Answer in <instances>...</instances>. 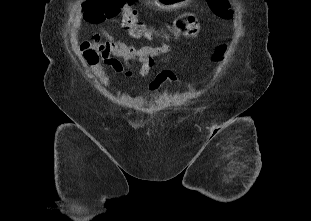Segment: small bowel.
Instances as JSON below:
<instances>
[{
  "instance_id": "1",
  "label": "small bowel",
  "mask_w": 311,
  "mask_h": 221,
  "mask_svg": "<svg viewBox=\"0 0 311 221\" xmlns=\"http://www.w3.org/2000/svg\"><path fill=\"white\" fill-rule=\"evenodd\" d=\"M106 39V50L108 46H127V53H110L109 57H103L104 63L115 72L123 74L127 78H133L135 73L132 68L138 65V75L144 79H150L156 64V58L162 56L161 62L169 61L171 48L168 44L162 46H141L128 45L124 41L114 37L109 32H104ZM174 73L169 69H164L158 73L150 82L149 90L157 91L164 83L175 81Z\"/></svg>"
}]
</instances>
